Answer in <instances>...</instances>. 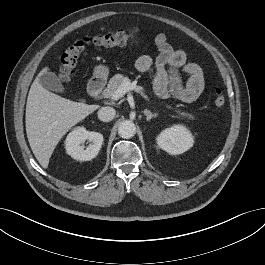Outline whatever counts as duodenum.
Listing matches in <instances>:
<instances>
[{
	"instance_id": "obj_1",
	"label": "duodenum",
	"mask_w": 265,
	"mask_h": 265,
	"mask_svg": "<svg viewBox=\"0 0 265 265\" xmlns=\"http://www.w3.org/2000/svg\"><path fill=\"white\" fill-rule=\"evenodd\" d=\"M104 81L102 79H93L88 85V95L92 98L99 96L101 90L103 89Z\"/></svg>"
}]
</instances>
